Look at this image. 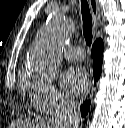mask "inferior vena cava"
Masks as SVG:
<instances>
[{"instance_id": "602c4592", "label": "inferior vena cava", "mask_w": 125, "mask_h": 128, "mask_svg": "<svg viewBox=\"0 0 125 128\" xmlns=\"http://www.w3.org/2000/svg\"><path fill=\"white\" fill-rule=\"evenodd\" d=\"M64 112L60 119L61 127H71L78 119V106L74 102H65L63 105Z\"/></svg>"}]
</instances>
